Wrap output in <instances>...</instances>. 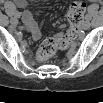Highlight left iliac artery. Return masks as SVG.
Masks as SVG:
<instances>
[{
	"label": "left iliac artery",
	"mask_w": 103,
	"mask_h": 103,
	"mask_svg": "<svg viewBox=\"0 0 103 103\" xmlns=\"http://www.w3.org/2000/svg\"><path fill=\"white\" fill-rule=\"evenodd\" d=\"M85 19H86L87 21H90V20L92 19V16H91L90 14H87L86 17H85Z\"/></svg>",
	"instance_id": "1"
}]
</instances>
